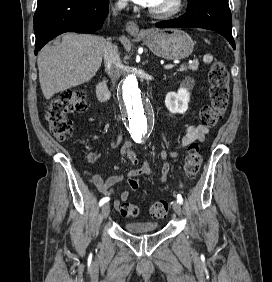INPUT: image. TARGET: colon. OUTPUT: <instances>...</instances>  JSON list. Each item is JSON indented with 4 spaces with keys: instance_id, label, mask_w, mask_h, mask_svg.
Here are the masks:
<instances>
[{
    "instance_id": "1",
    "label": "colon",
    "mask_w": 272,
    "mask_h": 282,
    "mask_svg": "<svg viewBox=\"0 0 272 282\" xmlns=\"http://www.w3.org/2000/svg\"><path fill=\"white\" fill-rule=\"evenodd\" d=\"M209 84L211 103L200 110V120L204 126L216 125L229 105V74L223 63L216 61L210 66ZM86 109L85 96L82 92L77 94L63 93L53 98L45 113V119L52 135L59 141L68 139L74 131V126L66 115L71 112L82 113ZM201 162L198 144H190L184 159V172L187 179H192L197 175ZM128 182L129 185L139 184L136 177H130ZM168 207L166 201H157L151 206L150 213L154 218H163L168 212ZM118 209L120 214L126 217H135L140 213L139 208L129 202H123Z\"/></svg>"
}]
</instances>
